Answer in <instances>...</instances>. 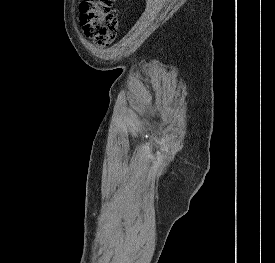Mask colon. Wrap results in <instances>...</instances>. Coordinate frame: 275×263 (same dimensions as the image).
Listing matches in <instances>:
<instances>
[{
    "label": "colon",
    "instance_id": "5ec220e1",
    "mask_svg": "<svg viewBox=\"0 0 275 263\" xmlns=\"http://www.w3.org/2000/svg\"><path fill=\"white\" fill-rule=\"evenodd\" d=\"M113 4L114 0H83L79 6L83 32L98 44L111 42L117 35Z\"/></svg>",
    "mask_w": 275,
    "mask_h": 263
}]
</instances>
